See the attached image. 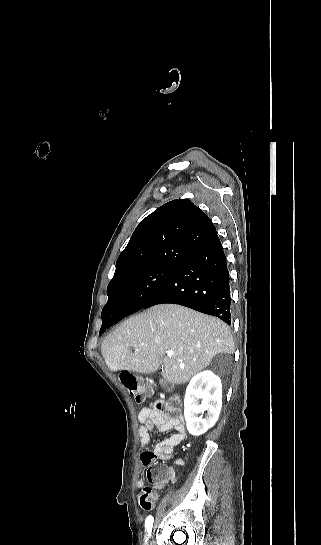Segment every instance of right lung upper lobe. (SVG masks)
Listing matches in <instances>:
<instances>
[{
  "mask_svg": "<svg viewBox=\"0 0 321 545\" xmlns=\"http://www.w3.org/2000/svg\"><path fill=\"white\" fill-rule=\"evenodd\" d=\"M216 235L210 218L190 200L170 201L136 227L116 262L110 283L131 270L158 264L181 266Z\"/></svg>",
  "mask_w": 321,
  "mask_h": 545,
  "instance_id": "1",
  "label": "right lung upper lobe"
}]
</instances>
